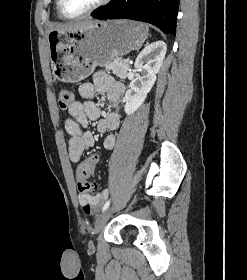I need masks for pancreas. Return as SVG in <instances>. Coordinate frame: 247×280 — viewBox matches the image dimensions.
<instances>
[{
  "label": "pancreas",
  "instance_id": "cf45deb5",
  "mask_svg": "<svg viewBox=\"0 0 247 280\" xmlns=\"http://www.w3.org/2000/svg\"><path fill=\"white\" fill-rule=\"evenodd\" d=\"M105 67L108 71H112L116 76L120 77L121 79H125L129 69V64L119 57L105 65Z\"/></svg>",
  "mask_w": 247,
  "mask_h": 280
}]
</instances>
